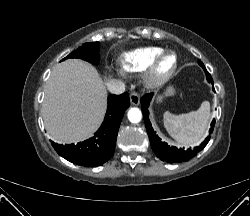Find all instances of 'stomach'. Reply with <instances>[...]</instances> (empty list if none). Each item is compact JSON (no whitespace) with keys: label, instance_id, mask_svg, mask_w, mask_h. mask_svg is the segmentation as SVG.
Returning a JSON list of instances; mask_svg holds the SVG:
<instances>
[{"label":"stomach","instance_id":"1","mask_svg":"<svg viewBox=\"0 0 250 216\" xmlns=\"http://www.w3.org/2000/svg\"><path fill=\"white\" fill-rule=\"evenodd\" d=\"M175 94V89L173 87H168L164 92L163 96H158L157 100L160 102L164 97L173 96Z\"/></svg>","mask_w":250,"mask_h":216}]
</instances>
